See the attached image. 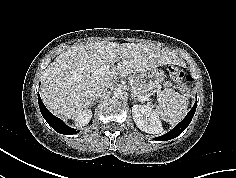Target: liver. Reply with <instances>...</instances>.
<instances>
[{
  "instance_id": "obj_1",
  "label": "liver",
  "mask_w": 236,
  "mask_h": 178,
  "mask_svg": "<svg viewBox=\"0 0 236 178\" xmlns=\"http://www.w3.org/2000/svg\"><path fill=\"white\" fill-rule=\"evenodd\" d=\"M119 56L121 60L114 66ZM177 62V56L168 49L148 44L100 41L75 45L45 69L41 98L53 114L76 119L90 106L96 85L112 82L121 74ZM104 65L110 68L102 72Z\"/></svg>"
}]
</instances>
